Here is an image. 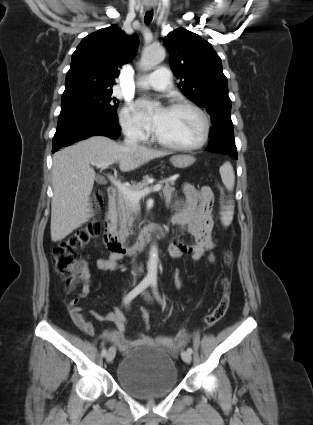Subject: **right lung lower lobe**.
<instances>
[{
  "instance_id": "1",
  "label": "right lung lower lobe",
  "mask_w": 313,
  "mask_h": 425,
  "mask_svg": "<svg viewBox=\"0 0 313 425\" xmlns=\"http://www.w3.org/2000/svg\"><path fill=\"white\" fill-rule=\"evenodd\" d=\"M117 114L102 109L66 102L61 105L52 152L90 136L102 135L112 139L119 137Z\"/></svg>"
}]
</instances>
